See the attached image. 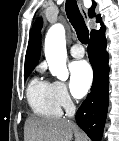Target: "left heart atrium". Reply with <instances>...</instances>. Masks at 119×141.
Returning a JSON list of instances; mask_svg holds the SVG:
<instances>
[{
  "label": "left heart atrium",
  "mask_w": 119,
  "mask_h": 141,
  "mask_svg": "<svg viewBox=\"0 0 119 141\" xmlns=\"http://www.w3.org/2000/svg\"><path fill=\"white\" fill-rule=\"evenodd\" d=\"M93 80L91 67L86 61H77L70 66V88L75 97L84 96Z\"/></svg>",
  "instance_id": "left-heart-atrium-1"
}]
</instances>
